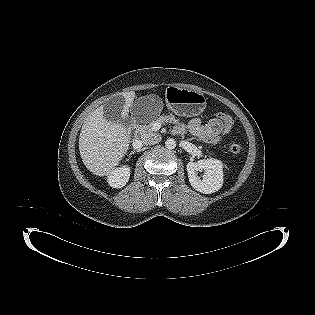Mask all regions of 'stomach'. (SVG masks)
<instances>
[{"label":"stomach","mask_w":315,"mask_h":315,"mask_svg":"<svg viewBox=\"0 0 315 315\" xmlns=\"http://www.w3.org/2000/svg\"><path fill=\"white\" fill-rule=\"evenodd\" d=\"M165 102L169 110L183 117L198 116L206 107V98L202 93L176 86L167 87Z\"/></svg>","instance_id":"1"}]
</instances>
